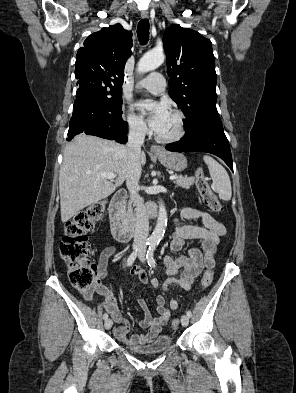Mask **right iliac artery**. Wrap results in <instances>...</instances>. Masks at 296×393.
Masks as SVG:
<instances>
[{
	"label": "right iliac artery",
	"mask_w": 296,
	"mask_h": 393,
	"mask_svg": "<svg viewBox=\"0 0 296 393\" xmlns=\"http://www.w3.org/2000/svg\"><path fill=\"white\" fill-rule=\"evenodd\" d=\"M146 245H150V242H146ZM138 254V250L136 249L127 259V266H132ZM108 318V314L104 313L103 319L106 320Z\"/></svg>",
	"instance_id": "1"
}]
</instances>
